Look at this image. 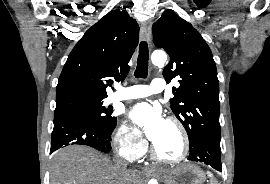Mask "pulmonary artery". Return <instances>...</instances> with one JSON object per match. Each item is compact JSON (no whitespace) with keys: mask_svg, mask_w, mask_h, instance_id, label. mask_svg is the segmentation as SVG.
Returning <instances> with one entry per match:
<instances>
[{"mask_svg":"<svg viewBox=\"0 0 270 184\" xmlns=\"http://www.w3.org/2000/svg\"><path fill=\"white\" fill-rule=\"evenodd\" d=\"M165 89V81L161 78H155L150 85H133L127 88L119 89L111 97L113 101L130 100L136 98L147 97L157 94Z\"/></svg>","mask_w":270,"mask_h":184,"instance_id":"pulmonary-artery-1","label":"pulmonary artery"}]
</instances>
